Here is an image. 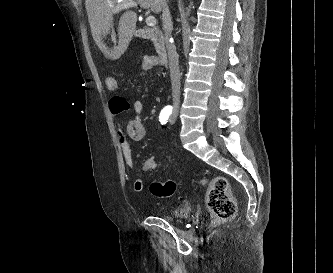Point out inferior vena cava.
Segmentation results:
<instances>
[{"mask_svg":"<svg viewBox=\"0 0 333 273\" xmlns=\"http://www.w3.org/2000/svg\"><path fill=\"white\" fill-rule=\"evenodd\" d=\"M162 22L166 48L169 58L170 77L172 85V97H173V112H178L180 104V79L181 74L179 70L178 54L176 47L170 42V36L173 29L172 19L170 11L167 5V0L162 3Z\"/></svg>","mask_w":333,"mask_h":273,"instance_id":"1","label":"inferior vena cava"}]
</instances>
